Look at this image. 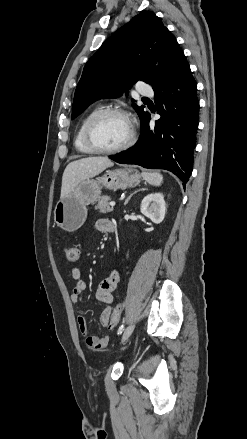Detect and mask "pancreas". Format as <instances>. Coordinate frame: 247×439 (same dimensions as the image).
Instances as JSON below:
<instances>
[{"label": "pancreas", "instance_id": "1", "mask_svg": "<svg viewBox=\"0 0 247 439\" xmlns=\"http://www.w3.org/2000/svg\"><path fill=\"white\" fill-rule=\"evenodd\" d=\"M110 197L109 196H102L100 197V199L98 200V203L96 205V209L99 210L100 213H110L113 211L112 207H109V201H110Z\"/></svg>", "mask_w": 247, "mask_h": 439}]
</instances>
